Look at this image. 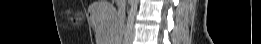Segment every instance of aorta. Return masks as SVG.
Segmentation results:
<instances>
[{"label":"aorta","instance_id":"aorta-1","mask_svg":"<svg viewBox=\"0 0 261 44\" xmlns=\"http://www.w3.org/2000/svg\"><path fill=\"white\" fill-rule=\"evenodd\" d=\"M139 0H130V9L126 20L124 42H130L133 38L134 20L138 9Z\"/></svg>","mask_w":261,"mask_h":44}]
</instances>
